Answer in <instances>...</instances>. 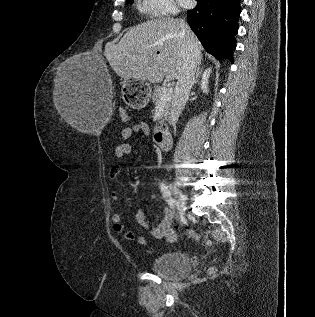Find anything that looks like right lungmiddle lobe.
<instances>
[{
    "instance_id": "dd1d6c3e",
    "label": "right lung middle lobe",
    "mask_w": 315,
    "mask_h": 317,
    "mask_svg": "<svg viewBox=\"0 0 315 317\" xmlns=\"http://www.w3.org/2000/svg\"><path fill=\"white\" fill-rule=\"evenodd\" d=\"M127 3L132 4L134 2V0H126Z\"/></svg>"
}]
</instances>
